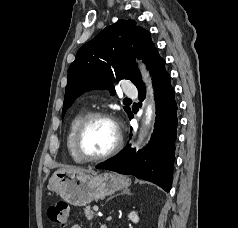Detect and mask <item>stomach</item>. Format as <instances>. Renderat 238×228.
<instances>
[{
  "label": "stomach",
  "instance_id": "1",
  "mask_svg": "<svg viewBox=\"0 0 238 228\" xmlns=\"http://www.w3.org/2000/svg\"><path fill=\"white\" fill-rule=\"evenodd\" d=\"M129 178L112 172L94 173L57 170L49 179L48 188L74 206H85L114 192L127 188Z\"/></svg>",
  "mask_w": 238,
  "mask_h": 228
}]
</instances>
